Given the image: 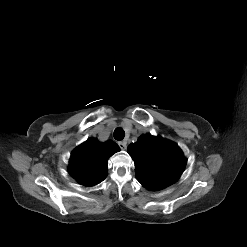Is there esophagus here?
<instances>
[{
	"label": "esophagus",
	"mask_w": 247,
	"mask_h": 247,
	"mask_svg": "<svg viewBox=\"0 0 247 247\" xmlns=\"http://www.w3.org/2000/svg\"><path fill=\"white\" fill-rule=\"evenodd\" d=\"M118 146L122 149L125 150L127 148V142L126 141H120L118 142Z\"/></svg>",
	"instance_id": "esophagus-1"
}]
</instances>
